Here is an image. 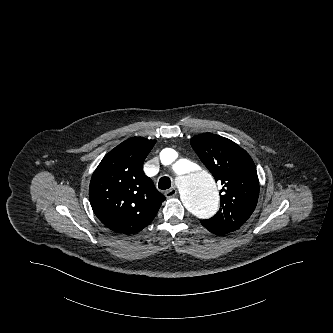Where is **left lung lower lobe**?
<instances>
[{
	"label": "left lung lower lobe",
	"mask_w": 333,
	"mask_h": 333,
	"mask_svg": "<svg viewBox=\"0 0 333 333\" xmlns=\"http://www.w3.org/2000/svg\"><path fill=\"white\" fill-rule=\"evenodd\" d=\"M206 228H207L210 232H212V233H214V234H217V235L228 233V232H226V231H221V230L214 229V228L211 227V226H206Z\"/></svg>",
	"instance_id": "obj_1"
}]
</instances>
